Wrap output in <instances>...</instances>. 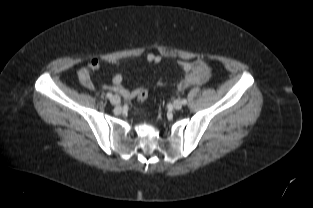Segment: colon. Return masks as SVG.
<instances>
[{"label":"colon","instance_id":"obj_1","mask_svg":"<svg viewBox=\"0 0 313 208\" xmlns=\"http://www.w3.org/2000/svg\"><path fill=\"white\" fill-rule=\"evenodd\" d=\"M148 97V91L146 89H141L137 95L139 101L143 102Z\"/></svg>","mask_w":313,"mask_h":208}]
</instances>
